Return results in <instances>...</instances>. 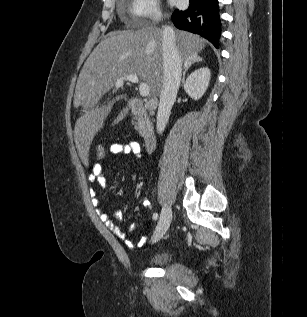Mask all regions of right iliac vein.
Masks as SVG:
<instances>
[{
    "instance_id": "right-iliac-vein-1",
    "label": "right iliac vein",
    "mask_w": 307,
    "mask_h": 317,
    "mask_svg": "<svg viewBox=\"0 0 307 317\" xmlns=\"http://www.w3.org/2000/svg\"><path fill=\"white\" fill-rule=\"evenodd\" d=\"M171 220H172L171 208L169 206H165L162 209L160 219H159L157 227L155 229L153 241L156 242L164 236V234L167 232V230L170 226Z\"/></svg>"
}]
</instances>
